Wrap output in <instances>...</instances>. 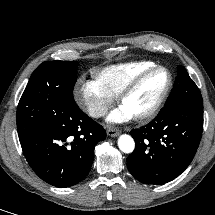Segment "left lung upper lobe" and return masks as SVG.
Masks as SVG:
<instances>
[{
  "mask_svg": "<svg viewBox=\"0 0 215 215\" xmlns=\"http://www.w3.org/2000/svg\"><path fill=\"white\" fill-rule=\"evenodd\" d=\"M179 103L203 107L199 88L189 77L186 69L180 65L178 66V76L174 87L165 105Z\"/></svg>",
  "mask_w": 215,
  "mask_h": 215,
  "instance_id": "5c2ea615",
  "label": "left lung upper lobe"
}]
</instances>
